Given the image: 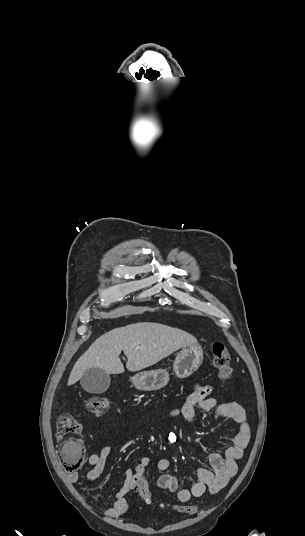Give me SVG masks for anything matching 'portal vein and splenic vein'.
Masks as SVG:
<instances>
[{"mask_svg": "<svg viewBox=\"0 0 305 536\" xmlns=\"http://www.w3.org/2000/svg\"><path fill=\"white\" fill-rule=\"evenodd\" d=\"M139 346H137V348H135V350H138Z\"/></svg>", "mask_w": 305, "mask_h": 536, "instance_id": "1", "label": "portal vein and splenic vein"}]
</instances>
